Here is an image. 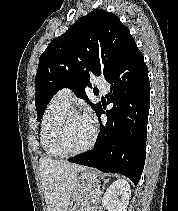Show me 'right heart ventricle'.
Segmentation results:
<instances>
[{
  "instance_id": "obj_1",
  "label": "right heart ventricle",
  "mask_w": 178,
  "mask_h": 211,
  "mask_svg": "<svg viewBox=\"0 0 178 211\" xmlns=\"http://www.w3.org/2000/svg\"><path fill=\"white\" fill-rule=\"evenodd\" d=\"M69 105L64 103L56 95L48 104L42 119V147L49 157H63L56 145L57 133L61 124V120Z\"/></svg>"
}]
</instances>
